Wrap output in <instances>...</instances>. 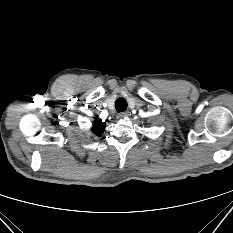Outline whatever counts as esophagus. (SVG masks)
Returning a JSON list of instances; mask_svg holds the SVG:
<instances>
[{
    "label": "esophagus",
    "mask_w": 233,
    "mask_h": 233,
    "mask_svg": "<svg viewBox=\"0 0 233 233\" xmlns=\"http://www.w3.org/2000/svg\"><path fill=\"white\" fill-rule=\"evenodd\" d=\"M130 114H129V112H121L120 114H119V117L120 118H126V117H128Z\"/></svg>",
    "instance_id": "esophagus-1"
}]
</instances>
